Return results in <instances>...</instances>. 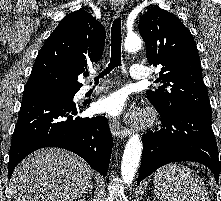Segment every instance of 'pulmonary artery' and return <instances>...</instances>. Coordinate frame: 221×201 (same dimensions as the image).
Returning a JSON list of instances; mask_svg holds the SVG:
<instances>
[{
    "mask_svg": "<svg viewBox=\"0 0 221 201\" xmlns=\"http://www.w3.org/2000/svg\"><path fill=\"white\" fill-rule=\"evenodd\" d=\"M130 76L133 80H145L149 77L148 69L141 64H133L130 69ZM93 86L85 85L82 88V92L85 93L89 91Z\"/></svg>",
    "mask_w": 221,
    "mask_h": 201,
    "instance_id": "pulmonary-artery-1",
    "label": "pulmonary artery"
}]
</instances>
